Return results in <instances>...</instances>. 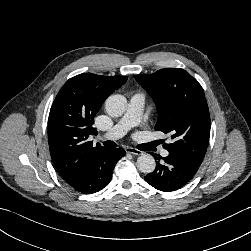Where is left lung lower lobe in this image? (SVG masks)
Here are the masks:
<instances>
[{
  "label": "left lung lower lobe",
  "instance_id": "left-lung-lower-lobe-1",
  "mask_svg": "<svg viewBox=\"0 0 251 251\" xmlns=\"http://www.w3.org/2000/svg\"><path fill=\"white\" fill-rule=\"evenodd\" d=\"M158 159L156 154H152ZM160 159L163 162H160ZM201 163L191 157L170 153L167 157H160L155 170L145 176V181L157 190L171 192L182 188L196 174Z\"/></svg>",
  "mask_w": 251,
  "mask_h": 251
}]
</instances>
